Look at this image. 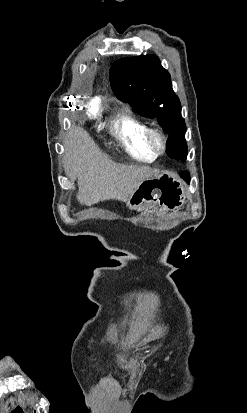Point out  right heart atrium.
Returning a JSON list of instances; mask_svg holds the SVG:
<instances>
[{
	"label": "right heart atrium",
	"mask_w": 247,
	"mask_h": 413,
	"mask_svg": "<svg viewBox=\"0 0 247 413\" xmlns=\"http://www.w3.org/2000/svg\"><path fill=\"white\" fill-rule=\"evenodd\" d=\"M102 106H103V103L101 100H92L90 105H87L85 107L86 116L89 119H96L98 117L99 109H101ZM78 130H84V129H78Z\"/></svg>",
	"instance_id": "1"
}]
</instances>
